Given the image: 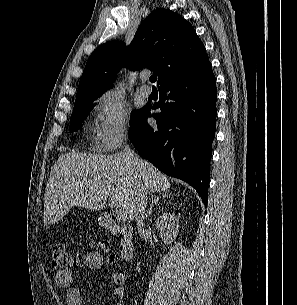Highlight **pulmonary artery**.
Returning a JSON list of instances; mask_svg holds the SVG:
<instances>
[{
  "label": "pulmonary artery",
  "mask_w": 297,
  "mask_h": 305,
  "mask_svg": "<svg viewBox=\"0 0 297 305\" xmlns=\"http://www.w3.org/2000/svg\"><path fill=\"white\" fill-rule=\"evenodd\" d=\"M149 78V75L147 73H142L140 75V79L144 82ZM151 87L148 85H142L140 87V93L143 97H149L151 95Z\"/></svg>",
  "instance_id": "pulmonary-artery-1"
}]
</instances>
